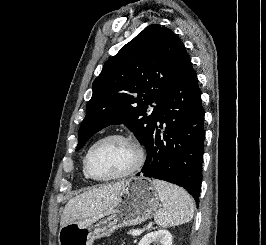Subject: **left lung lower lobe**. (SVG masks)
<instances>
[{
  "mask_svg": "<svg viewBox=\"0 0 266 245\" xmlns=\"http://www.w3.org/2000/svg\"><path fill=\"white\" fill-rule=\"evenodd\" d=\"M163 123L164 140L159 129ZM204 140V109L197 74L189 58L163 99L146 147L147 159L136 175L179 185L198 204Z\"/></svg>",
  "mask_w": 266,
  "mask_h": 245,
  "instance_id": "1",
  "label": "left lung lower lobe"
}]
</instances>
